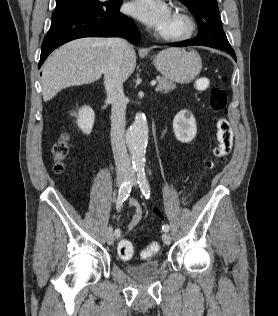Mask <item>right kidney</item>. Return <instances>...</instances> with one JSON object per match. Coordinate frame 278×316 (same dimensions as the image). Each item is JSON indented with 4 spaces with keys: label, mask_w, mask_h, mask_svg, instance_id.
<instances>
[{
    "label": "right kidney",
    "mask_w": 278,
    "mask_h": 316,
    "mask_svg": "<svg viewBox=\"0 0 278 316\" xmlns=\"http://www.w3.org/2000/svg\"><path fill=\"white\" fill-rule=\"evenodd\" d=\"M95 121V113L89 106H84L79 110L78 127L85 134H90Z\"/></svg>",
    "instance_id": "ca27d5eb"
}]
</instances>
